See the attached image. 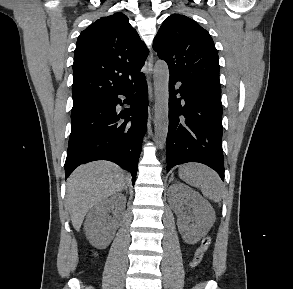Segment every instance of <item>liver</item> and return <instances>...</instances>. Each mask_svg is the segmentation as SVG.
Returning <instances> with one entry per match:
<instances>
[{"mask_svg":"<svg viewBox=\"0 0 293 289\" xmlns=\"http://www.w3.org/2000/svg\"><path fill=\"white\" fill-rule=\"evenodd\" d=\"M126 185L123 171L107 161L79 166L68 178L65 207L79 231L87 212L98 202L120 192Z\"/></svg>","mask_w":293,"mask_h":289,"instance_id":"1","label":"liver"}]
</instances>
